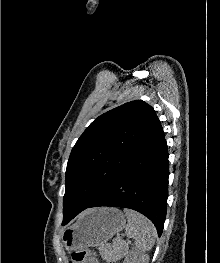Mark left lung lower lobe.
I'll return each instance as SVG.
<instances>
[{
    "label": "left lung lower lobe",
    "mask_w": 220,
    "mask_h": 263,
    "mask_svg": "<svg viewBox=\"0 0 220 263\" xmlns=\"http://www.w3.org/2000/svg\"><path fill=\"white\" fill-rule=\"evenodd\" d=\"M168 156L161 130L87 208L113 206L136 210L154 223L160 237L166 217ZM80 212L66 214L62 225Z\"/></svg>",
    "instance_id": "0a47b994"
}]
</instances>
